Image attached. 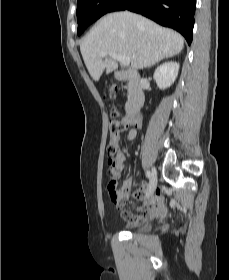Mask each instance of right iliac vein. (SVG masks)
Instances as JSON below:
<instances>
[{"label": "right iliac vein", "instance_id": "1", "mask_svg": "<svg viewBox=\"0 0 229 280\" xmlns=\"http://www.w3.org/2000/svg\"><path fill=\"white\" fill-rule=\"evenodd\" d=\"M157 186V174L155 168L152 169L149 188L153 191Z\"/></svg>", "mask_w": 229, "mask_h": 280}]
</instances>
